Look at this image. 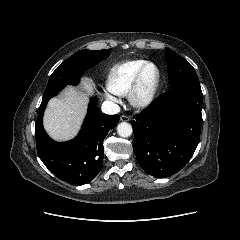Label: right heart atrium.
Masks as SVG:
<instances>
[{
    "label": "right heart atrium",
    "mask_w": 240,
    "mask_h": 240,
    "mask_svg": "<svg viewBox=\"0 0 240 240\" xmlns=\"http://www.w3.org/2000/svg\"><path fill=\"white\" fill-rule=\"evenodd\" d=\"M106 97L110 100H115V97L111 93H106Z\"/></svg>",
    "instance_id": "right-heart-atrium-1"
}]
</instances>
